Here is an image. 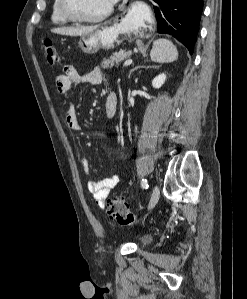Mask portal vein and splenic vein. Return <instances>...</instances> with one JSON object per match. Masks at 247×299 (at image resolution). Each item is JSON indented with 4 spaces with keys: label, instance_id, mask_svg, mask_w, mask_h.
Instances as JSON below:
<instances>
[{
    "label": "portal vein and splenic vein",
    "instance_id": "portal-vein-and-splenic-vein-1",
    "mask_svg": "<svg viewBox=\"0 0 247 299\" xmlns=\"http://www.w3.org/2000/svg\"><path fill=\"white\" fill-rule=\"evenodd\" d=\"M132 62H133L132 59H127V60L124 62V66L131 65Z\"/></svg>",
    "mask_w": 247,
    "mask_h": 299
}]
</instances>
